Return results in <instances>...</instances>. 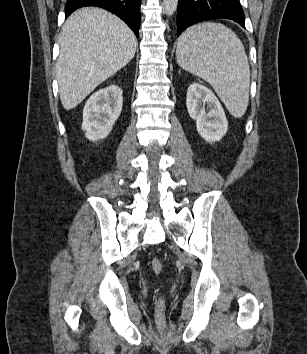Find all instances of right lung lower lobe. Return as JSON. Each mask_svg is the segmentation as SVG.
Returning a JSON list of instances; mask_svg holds the SVG:
<instances>
[{
    "label": "right lung lower lobe",
    "instance_id": "right-lung-lower-lobe-1",
    "mask_svg": "<svg viewBox=\"0 0 307 354\" xmlns=\"http://www.w3.org/2000/svg\"><path fill=\"white\" fill-rule=\"evenodd\" d=\"M140 4L141 0H68L65 5V17L84 6L101 7L120 17L138 36Z\"/></svg>",
    "mask_w": 307,
    "mask_h": 354
}]
</instances>
